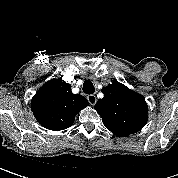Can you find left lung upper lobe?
<instances>
[{"instance_id": "left-lung-upper-lobe-1", "label": "left lung upper lobe", "mask_w": 178, "mask_h": 178, "mask_svg": "<svg viewBox=\"0 0 178 178\" xmlns=\"http://www.w3.org/2000/svg\"><path fill=\"white\" fill-rule=\"evenodd\" d=\"M104 97L94 106L104 125L117 136H128L141 130L147 122L145 98L118 81L102 88Z\"/></svg>"}]
</instances>
